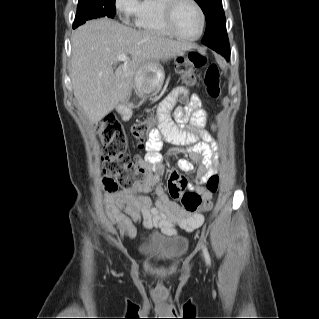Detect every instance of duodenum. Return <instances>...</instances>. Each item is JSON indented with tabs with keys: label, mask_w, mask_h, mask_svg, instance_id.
<instances>
[{
	"label": "duodenum",
	"mask_w": 319,
	"mask_h": 319,
	"mask_svg": "<svg viewBox=\"0 0 319 319\" xmlns=\"http://www.w3.org/2000/svg\"><path fill=\"white\" fill-rule=\"evenodd\" d=\"M132 109H133V104L130 103V102H128V103L122 105V106L119 108L118 111H119V114H120L123 118H125V117H127V116L130 115V112H131Z\"/></svg>",
	"instance_id": "duodenum-1"
}]
</instances>
